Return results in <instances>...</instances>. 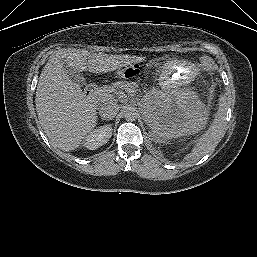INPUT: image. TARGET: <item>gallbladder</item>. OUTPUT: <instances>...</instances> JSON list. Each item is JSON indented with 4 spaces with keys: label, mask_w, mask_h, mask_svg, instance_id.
Wrapping results in <instances>:
<instances>
[{
    "label": "gallbladder",
    "mask_w": 257,
    "mask_h": 257,
    "mask_svg": "<svg viewBox=\"0 0 257 257\" xmlns=\"http://www.w3.org/2000/svg\"><path fill=\"white\" fill-rule=\"evenodd\" d=\"M64 70L66 75L76 84L83 87L86 85L85 78L83 75L76 69L64 64Z\"/></svg>",
    "instance_id": "gallbladder-1"
}]
</instances>
